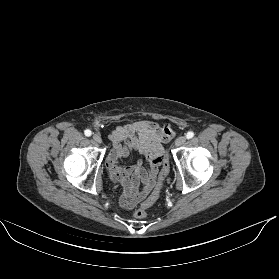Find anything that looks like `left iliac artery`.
Listing matches in <instances>:
<instances>
[{
  "label": "left iliac artery",
  "instance_id": "obj_1",
  "mask_svg": "<svg viewBox=\"0 0 279 279\" xmlns=\"http://www.w3.org/2000/svg\"><path fill=\"white\" fill-rule=\"evenodd\" d=\"M193 136H194V133H193L192 131H189V132L186 134V138H187V139H191Z\"/></svg>",
  "mask_w": 279,
  "mask_h": 279
}]
</instances>
